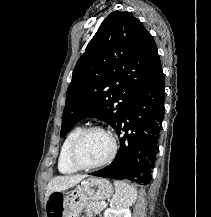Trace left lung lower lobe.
<instances>
[{
	"label": "left lung lower lobe",
	"mask_w": 211,
	"mask_h": 217,
	"mask_svg": "<svg viewBox=\"0 0 211 217\" xmlns=\"http://www.w3.org/2000/svg\"><path fill=\"white\" fill-rule=\"evenodd\" d=\"M164 96L161 69L135 94L125 115L114 128L120 137V148L115 159L106 168L90 175L128 179L140 185L150 183L165 111Z\"/></svg>",
	"instance_id": "0a47b994"
}]
</instances>
